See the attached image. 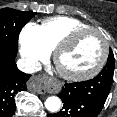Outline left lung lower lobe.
<instances>
[{"label": "left lung lower lobe", "mask_w": 117, "mask_h": 117, "mask_svg": "<svg viewBox=\"0 0 117 117\" xmlns=\"http://www.w3.org/2000/svg\"><path fill=\"white\" fill-rule=\"evenodd\" d=\"M108 68L93 79L77 83H66L58 95L64 107L62 111L48 117H97L108 97L112 84Z\"/></svg>", "instance_id": "left-lung-lower-lobe-1"}]
</instances>
